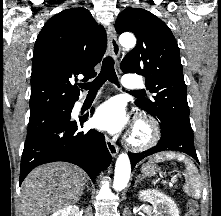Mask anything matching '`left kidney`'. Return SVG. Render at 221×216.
<instances>
[{
  "mask_svg": "<svg viewBox=\"0 0 221 216\" xmlns=\"http://www.w3.org/2000/svg\"><path fill=\"white\" fill-rule=\"evenodd\" d=\"M139 199L152 204L154 216H179L174 201L157 190L140 191Z\"/></svg>",
  "mask_w": 221,
  "mask_h": 216,
  "instance_id": "left-kidney-1",
  "label": "left kidney"
}]
</instances>
